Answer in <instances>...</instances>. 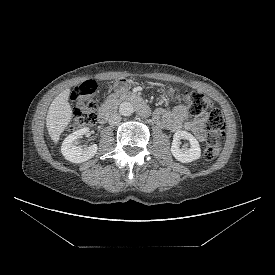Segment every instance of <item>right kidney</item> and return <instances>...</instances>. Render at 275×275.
Returning <instances> with one entry per match:
<instances>
[{"mask_svg":"<svg viewBox=\"0 0 275 275\" xmlns=\"http://www.w3.org/2000/svg\"><path fill=\"white\" fill-rule=\"evenodd\" d=\"M89 131V128L79 129L68 135L61 146L62 155L66 160L73 163H82L91 159L97 153V145L93 144L89 147L78 145L79 138Z\"/></svg>","mask_w":275,"mask_h":275,"instance_id":"ca27d5eb","label":"right kidney"}]
</instances>
